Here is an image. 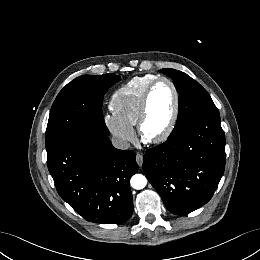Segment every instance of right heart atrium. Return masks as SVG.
<instances>
[{"label": "right heart atrium", "mask_w": 260, "mask_h": 260, "mask_svg": "<svg viewBox=\"0 0 260 260\" xmlns=\"http://www.w3.org/2000/svg\"><path fill=\"white\" fill-rule=\"evenodd\" d=\"M103 119L108 130L120 144L127 145L135 139L133 127L121 120L114 113L105 114Z\"/></svg>", "instance_id": "right-heart-atrium-1"}]
</instances>
